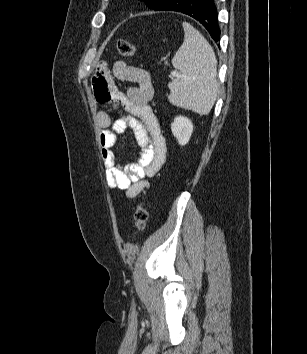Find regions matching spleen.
Wrapping results in <instances>:
<instances>
[{
    "label": "spleen",
    "mask_w": 307,
    "mask_h": 354,
    "mask_svg": "<svg viewBox=\"0 0 307 354\" xmlns=\"http://www.w3.org/2000/svg\"><path fill=\"white\" fill-rule=\"evenodd\" d=\"M184 42L172 59L181 74L168 87L169 102L200 115L209 114L217 97V59L208 41L189 23H183Z\"/></svg>",
    "instance_id": "1"
}]
</instances>
